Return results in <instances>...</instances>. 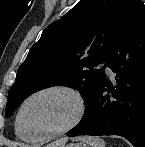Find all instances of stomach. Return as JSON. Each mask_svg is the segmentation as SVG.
Returning a JSON list of instances; mask_svg holds the SVG:
<instances>
[{
  "label": "stomach",
  "instance_id": "0dacf381",
  "mask_svg": "<svg viewBox=\"0 0 145 147\" xmlns=\"http://www.w3.org/2000/svg\"><path fill=\"white\" fill-rule=\"evenodd\" d=\"M66 147H86V145L83 143H76V144H69Z\"/></svg>",
  "mask_w": 145,
  "mask_h": 147
}]
</instances>
